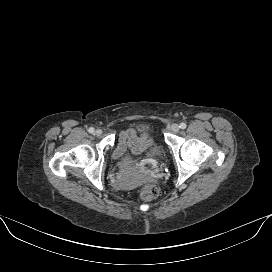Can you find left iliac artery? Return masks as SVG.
Listing matches in <instances>:
<instances>
[{
	"label": "left iliac artery",
	"instance_id": "1",
	"mask_svg": "<svg viewBox=\"0 0 272 272\" xmlns=\"http://www.w3.org/2000/svg\"><path fill=\"white\" fill-rule=\"evenodd\" d=\"M186 126H187V125H186L185 123H183V122L180 124V128H181V129H185Z\"/></svg>",
	"mask_w": 272,
	"mask_h": 272
}]
</instances>
